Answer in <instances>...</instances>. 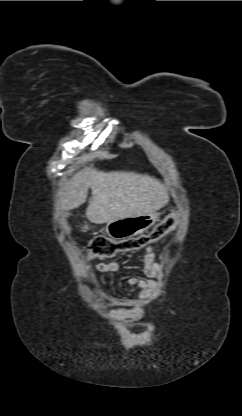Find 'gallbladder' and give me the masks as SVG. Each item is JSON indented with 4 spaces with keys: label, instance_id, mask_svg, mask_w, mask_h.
<instances>
[{
    "label": "gallbladder",
    "instance_id": "obj_1",
    "mask_svg": "<svg viewBox=\"0 0 242 416\" xmlns=\"http://www.w3.org/2000/svg\"><path fill=\"white\" fill-rule=\"evenodd\" d=\"M66 215H67V216H69V215H70V213H66Z\"/></svg>",
    "mask_w": 242,
    "mask_h": 416
}]
</instances>
